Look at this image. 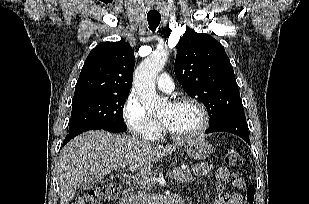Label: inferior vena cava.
<instances>
[{"instance_id":"obj_1","label":"inferior vena cava","mask_w":309,"mask_h":204,"mask_svg":"<svg viewBox=\"0 0 309 204\" xmlns=\"http://www.w3.org/2000/svg\"><path fill=\"white\" fill-rule=\"evenodd\" d=\"M144 196L140 193H138L137 196L132 198V203L131 204H145Z\"/></svg>"}]
</instances>
